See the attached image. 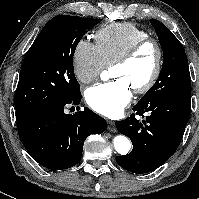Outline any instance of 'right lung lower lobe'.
Wrapping results in <instances>:
<instances>
[{"label": "right lung lower lobe", "instance_id": "obj_1", "mask_svg": "<svg viewBox=\"0 0 199 199\" xmlns=\"http://www.w3.org/2000/svg\"><path fill=\"white\" fill-rule=\"evenodd\" d=\"M81 95L57 106L41 108L17 121L20 139L28 153L42 166L62 170L76 165L85 139L105 131L106 120L89 108L65 114L68 104H79Z\"/></svg>", "mask_w": 199, "mask_h": 199}]
</instances>
